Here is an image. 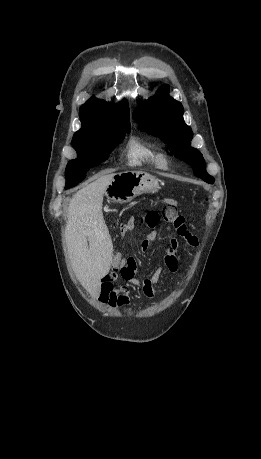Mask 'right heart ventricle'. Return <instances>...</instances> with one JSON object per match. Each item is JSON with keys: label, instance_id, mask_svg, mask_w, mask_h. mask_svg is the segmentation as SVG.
<instances>
[{"label": "right heart ventricle", "instance_id": "right-heart-ventricle-1", "mask_svg": "<svg viewBox=\"0 0 261 459\" xmlns=\"http://www.w3.org/2000/svg\"><path fill=\"white\" fill-rule=\"evenodd\" d=\"M158 154L153 144L139 137H131L124 150L126 163L133 167L158 168Z\"/></svg>", "mask_w": 261, "mask_h": 459}]
</instances>
